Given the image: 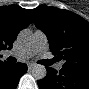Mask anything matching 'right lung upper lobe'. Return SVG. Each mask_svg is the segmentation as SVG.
<instances>
[{"label":"right lung upper lobe","mask_w":89,"mask_h":89,"mask_svg":"<svg viewBox=\"0 0 89 89\" xmlns=\"http://www.w3.org/2000/svg\"><path fill=\"white\" fill-rule=\"evenodd\" d=\"M0 49L12 48L18 33L33 22L31 10L18 5L0 9Z\"/></svg>","instance_id":"obj_1"}]
</instances>
